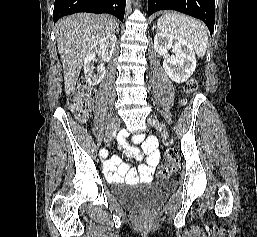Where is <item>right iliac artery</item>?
<instances>
[{
    "mask_svg": "<svg viewBox=\"0 0 257 237\" xmlns=\"http://www.w3.org/2000/svg\"><path fill=\"white\" fill-rule=\"evenodd\" d=\"M106 154H107V151H106V150L103 149V150L100 151V155L106 156Z\"/></svg>",
    "mask_w": 257,
    "mask_h": 237,
    "instance_id": "obj_1",
    "label": "right iliac artery"
}]
</instances>
